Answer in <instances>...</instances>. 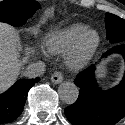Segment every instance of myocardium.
Returning a JSON list of instances; mask_svg holds the SVG:
<instances>
[{
    "mask_svg": "<svg viewBox=\"0 0 125 125\" xmlns=\"http://www.w3.org/2000/svg\"><path fill=\"white\" fill-rule=\"evenodd\" d=\"M93 36L91 43L87 39ZM100 46V36L96 30L88 29L81 33L66 53V63L72 70L83 69L93 58Z\"/></svg>",
    "mask_w": 125,
    "mask_h": 125,
    "instance_id": "f54148a6",
    "label": "myocardium"
}]
</instances>
